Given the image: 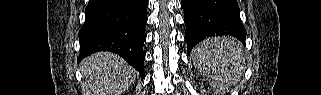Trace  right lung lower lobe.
I'll list each match as a JSON object with an SVG mask.
<instances>
[{
    "label": "right lung lower lobe",
    "mask_w": 321,
    "mask_h": 95,
    "mask_svg": "<svg viewBox=\"0 0 321 95\" xmlns=\"http://www.w3.org/2000/svg\"><path fill=\"white\" fill-rule=\"evenodd\" d=\"M147 7V0H89L79 31V60L98 51H111L143 78Z\"/></svg>",
    "instance_id": "98d812e1"
}]
</instances>
